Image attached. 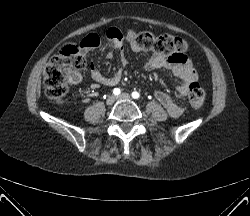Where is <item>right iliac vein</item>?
<instances>
[{
  "label": "right iliac vein",
  "instance_id": "obj_1",
  "mask_svg": "<svg viewBox=\"0 0 250 216\" xmlns=\"http://www.w3.org/2000/svg\"><path fill=\"white\" fill-rule=\"evenodd\" d=\"M115 100H116L115 96H114V95H110V96L107 98V100H106V104H107L108 106H111V105L114 104Z\"/></svg>",
  "mask_w": 250,
  "mask_h": 216
}]
</instances>
